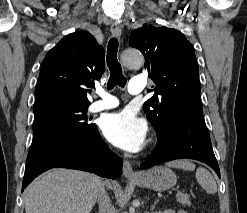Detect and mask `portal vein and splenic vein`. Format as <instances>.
<instances>
[{
    "mask_svg": "<svg viewBox=\"0 0 247 213\" xmlns=\"http://www.w3.org/2000/svg\"><path fill=\"white\" fill-rule=\"evenodd\" d=\"M178 195H181V192L180 191H177L176 192V196H178Z\"/></svg>",
    "mask_w": 247,
    "mask_h": 213,
    "instance_id": "portal-vein-and-splenic-vein-1",
    "label": "portal vein and splenic vein"
}]
</instances>
